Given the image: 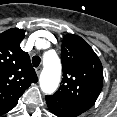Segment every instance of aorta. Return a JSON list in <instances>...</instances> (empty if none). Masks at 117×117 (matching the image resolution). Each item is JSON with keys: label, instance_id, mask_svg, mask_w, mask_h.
Wrapping results in <instances>:
<instances>
[{"label": "aorta", "instance_id": "obj_1", "mask_svg": "<svg viewBox=\"0 0 117 117\" xmlns=\"http://www.w3.org/2000/svg\"><path fill=\"white\" fill-rule=\"evenodd\" d=\"M43 70L40 75V88L45 94H52L58 88L61 77V63L54 51L43 55Z\"/></svg>", "mask_w": 117, "mask_h": 117}]
</instances>
